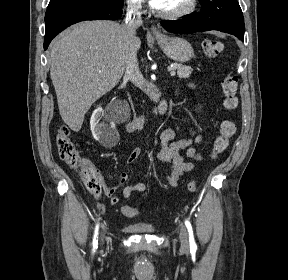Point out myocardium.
<instances>
[{
  "label": "myocardium",
  "mask_w": 288,
  "mask_h": 280,
  "mask_svg": "<svg viewBox=\"0 0 288 280\" xmlns=\"http://www.w3.org/2000/svg\"><path fill=\"white\" fill-rule=\"evenodd\" d=\"M197 4L198 0H189L187 5L183 9L175 12L159 11V15L163 18L170 20L181 19L193 13L197 7Z\"/></svg>",
  "instance_id": "myocardium-1"
}]
</instances>
